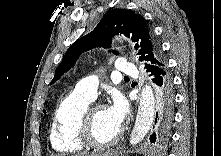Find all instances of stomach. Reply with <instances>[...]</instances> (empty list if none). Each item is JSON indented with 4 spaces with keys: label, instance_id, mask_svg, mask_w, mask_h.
Returning <instances> with one entry per match:
<instances>
[{
    "label": "stomach",
    "instance_id": "0dacf381",
    "mask_svg": "<svg viewBox=\"0 0 221 156\" xmlns=\"http://www.w3.org/2000/svg\"><path fill=\"white\" fill-rule=\"evenodd\" d=\"M104 156H117V155H115V153L114 154L113 153H107Z\"/></svg>",
    "mask_w": 221,
    "mask_h": 156
}]
</instances>
